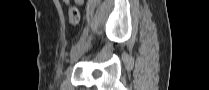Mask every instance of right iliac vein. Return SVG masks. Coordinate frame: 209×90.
Listing matches in <instances>:
<instances>
[{"mask_svg": "<svg viewBox=\"0 0 209 90\" xmlns=\"http://www.w3.org/2000/svg\"><path fill=\"white\" fill-rule=\"evenodd\" d=\"M90 45V40H87L82 46L81 48L76 51L70 58V62L71 63H74L76 62L85 52L86 50L88 49Z\"/></svg>", "mask_w": 209, "mask_h": 90, "instance_id": "right-iliac-vein-1", "label": "right iliac vein"}]
</instances>
